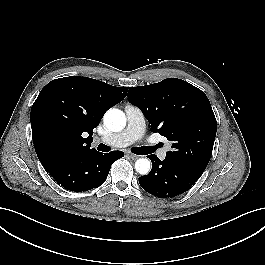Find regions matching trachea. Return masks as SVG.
<instances>
[{
	"label": "trachea",
	"mask_w": 265,
	"mask_h": 265,
	"mask_svg": "<svg viewBox=\"0 0 265 265\" xmlns=\"http://www.w3.org/2000/svg\"><path fill=\"white\" fill-rule=\"evenodd\" d=\"M98 149L103 152H108L110 150L109 146H106L104 144H99ZM155 150V147H135L132 149V152L137 155H147L152 153Z\"/></svg>",
	"instance_id": "obj_1"
}]
</instances>
